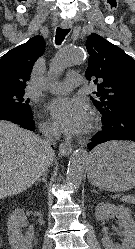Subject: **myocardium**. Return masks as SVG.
Wrapping results in <instances>:
<instances>
[{
  "mask_svg": "<svg viewBox=\"0 0 135 249\" xmlns=\"http://www.w3.org/2000/svg\"><path fill=\"white\" fill-rule=\"evenodd\" d=\"M96 127H97L96 118L95 116H92L87 126L86 133H91Z\"/></svg>",
  "mask_w": 135,
  "mask_h": 249,
  "instance_id": "1",
  "label": "myocardium"
}]
</instances>
